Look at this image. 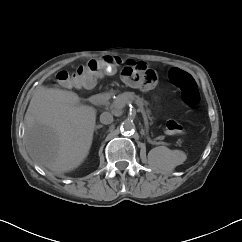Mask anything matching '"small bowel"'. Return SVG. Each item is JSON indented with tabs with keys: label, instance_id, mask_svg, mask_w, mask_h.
Returning <instances> with one entry per match:
<instances>
[{
	"label": "small bowel",
	"instance_id": "obj_1",
	"mask_svg": "<svg viewBox=\"0 0 242 242\" xmlns=\"http://www.w3.org/2000/svg\"><path fill=\"white\" fill-rule=\"evenodd\" d=\"M143 64H144V63H139V65H143ZM123 79H124V81H125L127 84H130V85H132V86H137V85H135V84L130 83V82L126 79L125 76H123Z\"/></svg>",
	"mask_w": 242,
	"mask_h": 242
}]
</instances>
